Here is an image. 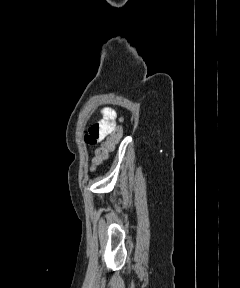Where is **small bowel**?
<instances>
[{"label": "small bowel", "instance_id": "small-bowel-1", "mask_svg": "<svg viewBox=\"0 0 240 288\" xmlns=\"http://www.w3.org/2000/svg\"><path fill=\"white\" fill-rule=\"evenodd\" d=\"M116 130V113L111 108L101 110V119L93 124L85 134V142L89 145L102 141Z\"/></svg>", "mask_w": 240, "mask_h": 288}]
</instances>
